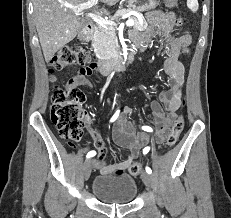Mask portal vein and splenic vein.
<instances>
[{"label": "portal vein and splenic vein", "mask_w": 231, "mask_h": 218, "mask_svg": "<svg viewBox=\"0 0 231 218\" xmlns=\"http://www.w3.org/2000/svg\"><path fill=\"white\" fill-rule=\"evenodd\" d=\"M95 3H96V0H89L85 3L79 4L76 6H69V8H71L76 13H80V12L94 6ZM87 16L90 17L94 22H96L97 24H99L103 27L115 25V23L113 21L105 20L103 17H101L97 14L88 13ZM134 24H135V22L133 20L126 21L127 26H134Z\"/></svg>", "instance_id": "1"}]
</instances>
